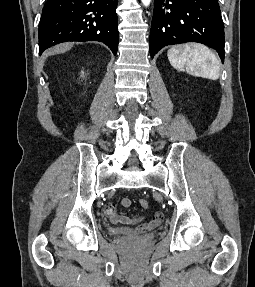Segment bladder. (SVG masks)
Here are the masks:
<instances>
[{"mask_svg":"<svg viewBox=\"0 0 255 287\" xmlns=\"http://www.w3.org/2000/svg\"><path fill=\"white\" fill-rule=\"evenodd\" d=\"M140 230L130 227H115L110 229V234L114 236L134 234L139 232Z\"/></svg>","mask_w":255,"mask_h":287,"instance_id":"obj_1","label":"bladder"}]
</instances>
